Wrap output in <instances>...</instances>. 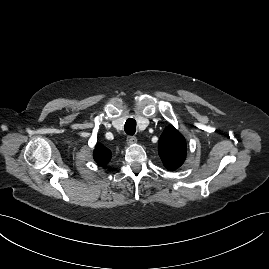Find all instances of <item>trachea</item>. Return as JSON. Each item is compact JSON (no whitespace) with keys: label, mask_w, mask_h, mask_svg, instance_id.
<instances>
[{"label":"trachea","mask_w":269,"mask_h":269,"mask_svg":"<svg viewBox=\"0 0 269 269\" xmlns=\"http://www.w3.org/2000/svg\"><path fill=\"white\" fill-rule=\"evenodd\" d=\"M124 130L128 135H134L136 132V121L133 118L127 119Z\"/></svg>","instance_id":"3493384b"}]
</instances>
